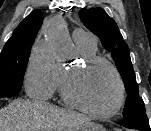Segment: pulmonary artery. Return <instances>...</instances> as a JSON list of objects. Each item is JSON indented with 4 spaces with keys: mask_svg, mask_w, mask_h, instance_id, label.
<instances>
[{
    "mask_svg": "<svg viewBox=\"0 0 151 131\" xmlns=\"http://www.w3.org/2000/svg\"><path fill=\"white\" fill-rule=\"evenodd\" d=\"M73 39L75 42H82L91 45H96L95 37L82 29H77L73 32Z\"/></svg>",
    "mask_w": 151,
    "mask_h": 131,
    "instance_id": "1",
    "label": "pulmonary artery"
}]
</instances>
